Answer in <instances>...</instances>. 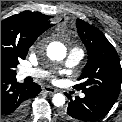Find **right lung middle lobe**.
I'll return each instance as SVG.
<instances>
[{"instance_id": "obj_1", "label": "right lung middle lobe", "mask_w": 122, "mask_h": 122, "mask_svg": "<svg viewBox=\"0 0 122 122\" xmlns=\"http://www.w3.org/2000/svg\"><path fill=\"white\" fill-rule=\"evenodd\" d=\"M19 59H24V57H19L8 50H1V75L15 77V68L19 63Z\"/></svg>"}]
</instances>
